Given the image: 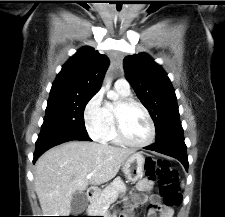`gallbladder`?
Listing matches in <instances>:
<instances>
[{"label": "gallbladder", "mask_w": 225, "mask_h": 217, "mask_svg": "<svg viewBox=\"0 0 225 217\" xmlns=\"http://www.w3.org/2000/svg\"><path fill=\"white\" fill-rule=\"evenodd\" d=\"M88 205V199L84 192L77 191L73 194L71 200V213L79 214L82 213Z\"/></svg>", "instance_id": "1"}]
</instances>
